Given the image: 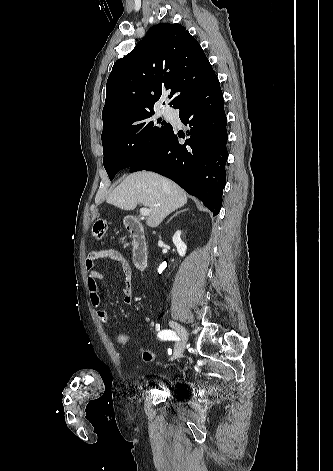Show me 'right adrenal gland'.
Masks as SVG:
<instances>
[{
    "instance_id": "obj_1",
    "label": "right adrenal gland",
    "mask_w": 333,
    "mask_h": 471,
    "mask_svg": "<svg viewBox=\"0 0 333 471\" xmlns=\"http://www.w3.org/2000/svg\"><path fill=\"white\" fill-rule=\"evenodd\" d=\"M188 210H189V209L187 208V209L180 210V211L176 212L173 216L170 217V219L168 220V222L171 221V220H172L174 217H176L178 214H180V213H182V212H185V211H188Z\"/></svg>"
}]
</instances>
